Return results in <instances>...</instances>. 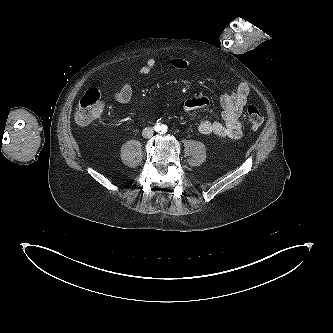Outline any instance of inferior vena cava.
Here are the masks:
<instances>
[{"instance_id":"obj_1","label":"inferior vena cava","mask_w":333,"mask_h":333,"mask_svg":"<svg viewBox=\"0 0 333 333\" xmlns=\"http://www.w3.org/2000/svg\"><path fill=\"white\" fill-rule=\"evenodd\" d=\"M153 133H154V131H153V128H152V127H146V128H144L143 131H142V136H143L144 138H150V137L153 136Z\"/></svg>"}]
</instances>
